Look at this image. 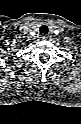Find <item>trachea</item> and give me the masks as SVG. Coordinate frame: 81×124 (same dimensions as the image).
<instances>
[{
    "label": "trachea",
    "instance_id": "1",
    "mask_svg": "<svg viewBox=\"0 0 81 124\" xmlns=\"http://www.w3.org/2000/svg\"><path fill=\"white\" fill-rule=\"evenodd\" d=\"M39 30L40 34H48V27L46 25H42Z\"/></svg>",
    "mask_w": 81,
    "mask_h": 124
}]
</instances>
